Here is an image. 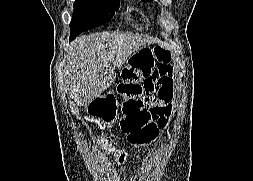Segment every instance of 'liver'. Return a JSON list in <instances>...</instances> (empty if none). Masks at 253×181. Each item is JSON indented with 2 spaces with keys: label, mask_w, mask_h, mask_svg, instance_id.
I'll return each mask as SVG.
<instances>
[{
  "label": "liver",
  "mask_w": 253,
  "mask_h": 181,
  "mask_svg": "<svg viewBox=\"0 0 253 181\" xmlns=\"http://www.w3.org/2000/svg\"><path fill=\"white\" fill-rule=\"evenodd\" d=\"M138 34L93 33L76 38L67 55L66 75L70 97L87 106L110 87L130 55L151 43ZM112 64L114 67H112Z\"/></svg>",
  "instance_id": "obj_1"
}]
</instances>
